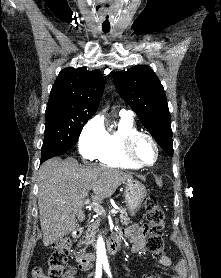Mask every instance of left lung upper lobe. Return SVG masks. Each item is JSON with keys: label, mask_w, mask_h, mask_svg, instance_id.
<instances>
[{"label": "left lung upper lobe", "mask_w": 221, "mask_h": 278, "mask_svg": "<svg viewBox=\"0 0 221 278\" xmlns=\"http://www.w3.org/2000/svg\"><path fill=\"white\" fill-rule=\"evenodd\" d=\"M113 82L157 143L172 156L169 108L164 88L153 70L147 65L133 66L126 72H115Z\"/></svg>", "instance_id": "5c2ea615"}]
</instances>
